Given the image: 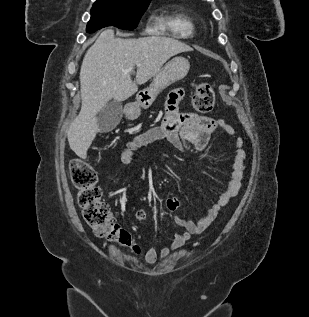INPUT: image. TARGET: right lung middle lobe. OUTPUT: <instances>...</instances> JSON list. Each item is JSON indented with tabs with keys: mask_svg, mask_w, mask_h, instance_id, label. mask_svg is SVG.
Masks as SVG:
<instances>
[{
	"mask_svg": "<svg viewBox=\"0 0 309 317\" xmlns=\"http://www.w3.org/2000/svg\"><path fill=\"white\" fill-rule=\"evenodd\" d=\"M149 3L150 0H97L91 9L86 31L93 33L107 26L133 30Z\"/></svg>",
	"mask_w": 309,
	"mask_h": 317,
	"instance_id": "dd1d6c3e",
	"label": "right lung middle lobe"
}]
</instances>
